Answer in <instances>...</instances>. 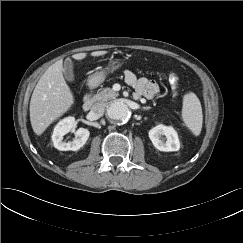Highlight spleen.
<instances>
[{"instance_id":"1","label":"spleen","mask_w":243,"mask_h":243,"mask_svg":"<svg viewBox=\"0 0 243 243\" xmlns=\"http://www.w3.org/2000/svg\"><path fill=\"white\" fill-rule=\"evenodd\" d=\"M181 117L186 126L195 136L200 135L203 123L201 103L195 93L189 92L183 97Z\"/></svg>"}]
</instances>
